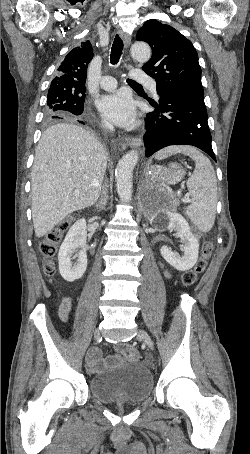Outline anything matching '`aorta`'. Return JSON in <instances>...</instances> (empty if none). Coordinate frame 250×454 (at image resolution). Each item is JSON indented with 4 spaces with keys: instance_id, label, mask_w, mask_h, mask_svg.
Instances as JSON below:
<instances>
[{
    "instance_id": "762f6f07",
    "label": "aorta",
    "mask_w": 250,
    "mask_h": 454,
    "mask_svg": "<svg viewBox=\"0 0 250 454\" xmlns=\"http://www.w3.org/2000/svg\"><path fill=\"white\" fill-rule=\"evenodd\" d=\"M131 55L138 62L145 63L151 57V49L145 42H135L131 46ZM138 159V151L131 150L119 160L115 170L117 193L124 202H129L132 198L133 169Z\"/></svg>"
}]
</instances>
